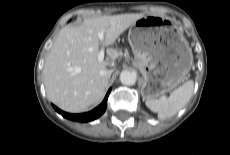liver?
<instances>
[{"label":"liver","mask_w":230,"mask_h":155,"mask_svg":"<svg viewBox=\"0 0 230 155\" xmlns=\"http://www.w3.org/2000/svg\"><path fill=\"white\" fill-rule=\"evenodd\" d=\"M144 14L131 13L85 19L62 28L43 68L48 98L64 111L79 113L104 98L109 77L108 59L98 60L99 46H108ZM104 32L101 41L98 33Z\"/></svg>","instance_id":"1"}]
</instances>
